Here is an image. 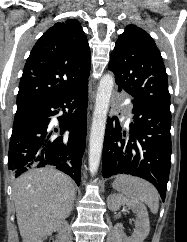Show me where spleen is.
Wrapping results in <instances>:
<instances>
[{
  "instance_id": "spleen-1",
  "label": "spleen",
  "mask_w": 187,
  "mask_h": 242,
  "mask_svg": "<svg viewBox=\"0 0 187 242\" xmlns=\"http://www.w3.org/2000/svg\"><path fill=\"white\" fill-rule=\"evenodd\" d=\"M113 188L126 198L144 202L153 214L158 212L159 194L151 183L138 177L119 175L113 182Z\"/></svg>"
}]
</instances>
